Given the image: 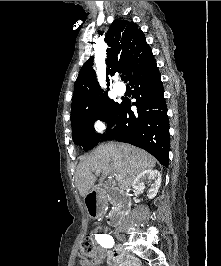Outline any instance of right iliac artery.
Segmentation results:
<instances>
[{
  "mask_svg": "<svg viewBox=\"0 0 221 266\" xmlns=\"http://www.w3.org/2000/svg\"><path fill=\"white\" fill-rule=\"evenodd\" d=\"M97 242L105 248H112L114 246V239L108 234H101L96 237Z\"/></svg>",
  "mask_w": 221,
  "mask_h": 266,
  "instance_id": "82829eb1",
  "label": "right iliac artery"
}]
</instances>
